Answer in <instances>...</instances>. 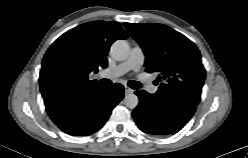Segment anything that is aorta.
<instances>
[{
  "label": "aorta",
  "mask_w": 248,
  "mask_h": 158,
  "mask_svg": "<svg viewBox=\"0 0 248 158\" xmlns=\"http://www.w3.org/2000/svg\"><path fill=\"white\" fill-rule=\"evenodd\" d=\"M130 47L125 40L115 41L110 48V55L117 61H123L129 56ZM139 99L136 94L130 93L125 96L124 104L130 109L137 107Z\"/></svg>",
  "instance_id": "762f6f07"
}]
</instances>
